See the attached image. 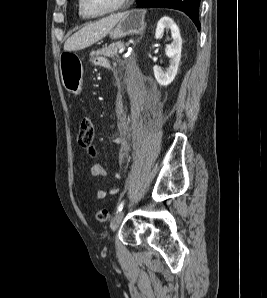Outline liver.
<instances>
[{"label": "liver", "mask_w": 267, "mask_h": 298, "mask_svg": "<svg viewBox=\"0 0 267 298\" xmlns=\"http://www.w3.org/2000/svg\"><path fill=\"white\" fill-rule=\"evenodd\" d=\"M123 15L124 13L112 14L96 22L85 25L66 40L64 50L76 51L91 46L105 37Z\"/></svg>", "instance_id": "obj_1"}]
</instances>
